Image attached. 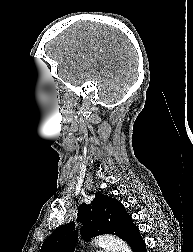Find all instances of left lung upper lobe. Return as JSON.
Returning a JSON list of instances; mask_svg holds the SVG:
<instances>
[{
  "label": "left lung upper lobe",
  "mask_w": 193,
  "mask_h": 252,
  "mask_svg": "<svg viewBox=\"0 0 193 252\" xmlns=\"http://www.w3.org/2000/svg\"><path fill=\"white\" fill-rule=\"evenodd\" d=\"M77 221L82 222V234L87 240L99 234H113L127 242L136 227L122 203L99 192L89 205L79 206ZM76 243L75 223L70 222L58 227L44 241L40 252H74Z\"/></svg>",
  "instance_id": "1"
}]
</instances>
